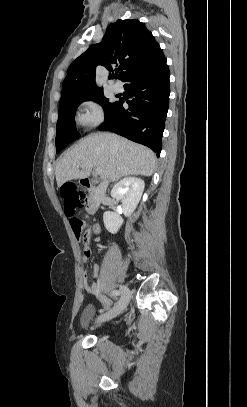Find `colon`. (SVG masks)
Instances as JSON below:
<instances>
[{
	"mask_svg": "<svg viewBox=\"0 0 247 407\" xmlns=\"http://www.w3.org/2000/svg\"><path fill=\"white\" fill-rule=\"evenodd\" d=\"M60 193L64 200V212L67 216H73L76 210L85 204L86 195L79 191L73 183L64 184ZM70 224L76 237L88 244L96 228H88L81 220L76 218L71 219Z\"/></svg>",
	"mask_w": 247,
	"mask_h": 407,
	"instance_id": "colon-1",
	"label": "colon"
}]
</instances>
